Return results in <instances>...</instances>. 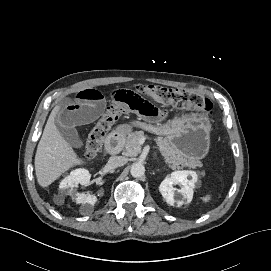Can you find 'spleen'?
I'll use <instances>...</instances> for the list:
<instances>
[{"mask_svg":"<svg viewBox=\"0 0 271 271\" xmlns=\"http://www.w3.org/2000/svg\"><path fill=\"white\" fill-rule=\"evenodd\" d=\"M211 199H212V195L211 194H207V195H205V196H203L201 198L203 204L209 203L211 201Z\"/></svg>","mask_w":271,"mask_h":271,"instance_id":"obj_1","label":"spleen"}]
</instances>
